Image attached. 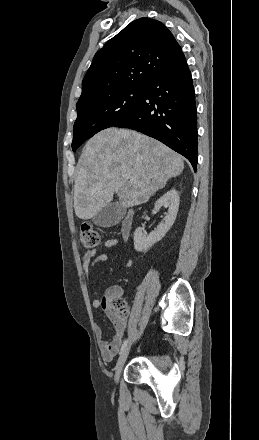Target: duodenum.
Instances as JSON below:
<instances>
[{"label":"duodenum","mask_w":259,"mask_h":440,"mask_svg":"<svg viewBox=\"0 0 259 440\" xmlns=\"http://www.w3.org/2000/svg\"><path fill=\"white\" fill-rule=\"evenodd\" d=\"M133 223L134 212L132 210H128L121 221V235L124 239L129 238L133 229Z\"/></svg>","instance_id":"obj_1"}]
</instances>
